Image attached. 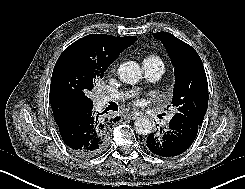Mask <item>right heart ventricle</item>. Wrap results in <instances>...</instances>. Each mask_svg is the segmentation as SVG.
I'll list each match as a JSON object with an SVG mask.
<instances>
[{
    "mask_svg": "<svg viewBox=\"0 0 245 189\" xmlns=\"http://www.w3.org/2000/svg\"><path fill=\"white\" fill-rule=\"evenodd\" d=\"M147 62V63H161L163 64V61L161 60V58L155 54H148L144 57L143 59V63Z\"/></svg>",
    "mask_w": 245,
    "mask_h": 189,
    "instance_id": "obj_1",
    "label": "right heart ventricle"
}]
</instances>
